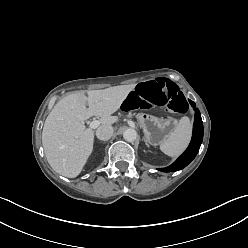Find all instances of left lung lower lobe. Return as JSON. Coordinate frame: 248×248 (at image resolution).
I'll list each match as a JSON object with an SVG mask.
<instances>
[{"mask_svg": "<svg viewBox=\"0 0 248 248\" xmlns=\"http://www.w3.org/2000/svg\"><path fill=\"white\" fill-rule=\"evenodd\" d=\"M189 103L196 111L191 142L185 152L172 165L159 169L160 171L175 172L183 169L195 158L200 149L203 140V122L199 110L195 108V103L192 100H189Z\"/></svg>", "mask_w": 248, "mask_h": 248, "instance_id": "left-lung-lower-lobe-1", "label": "left lung lower lobe"}]
</instances>
